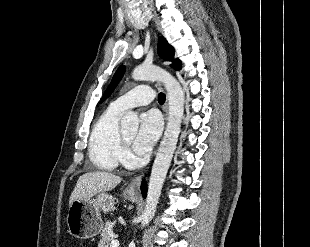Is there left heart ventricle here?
<instances>
[{"mask_svg":"<svg viewBox=\"0 0 310 247\" xmlns=\"http://www.w3.org/2000/svg\"><path fill=\"white\" fill-rule=\"evenodd\" d=\"M123 134H124L125 138H126L129 142H131V141L133 140L134 136H135V130L126 131V132H124Z\"/></svg>","mask_w":310,"mask_h":247,"instance_id":"obj_1","label":"left heart ventricle"}]
</instances>
